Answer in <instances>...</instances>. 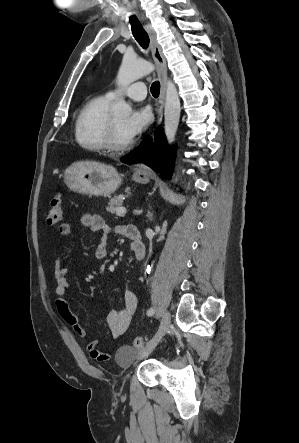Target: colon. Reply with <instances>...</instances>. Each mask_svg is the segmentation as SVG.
Wrapping results in <instances>:
<instances>
[{"label": "colon", "mask_w": 299, "mask_h": 443, "mask_svg": "<svg viewBox=\"0 0 299 443\" xmlns=\"http://www.w3.org/2000/svg\"><path fill=\"white\" fill-rule=\"evenodd\" d=\"M62 199L61 194L56 193L50 200L49 205L46 209V222L49 226L57 225L62 218ZM133 347L137 350H142L145 346L144 340L140 337H136L133 339ZM131 354L130 348L122 349L118 354V359L120 361H125L126 358Z\"/></svg>", "instance_id": "obj_1"}]
</instances>
